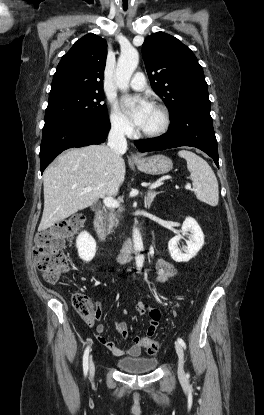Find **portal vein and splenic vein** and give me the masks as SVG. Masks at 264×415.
<instances>
[{"mask_svg": "<svg viewBox=\"0 0 264 415\" xmlns=\"http://www.w3.org/2000/svg\"><path fill=\"white\" fill-rule=\"evenodd\" d=\"M162 184H163L162 182H157V183L151 185L150 188L151 189L156 188V187H158ZM185 188L186 189H191V184L188 183L185 186ZM92 190H93V188L87 187V188L84 189V192H90ZM103 202H104L105 206H107L109 208H117L119 206V203L116 200H114L113 198L106 197V198H104Z\"/></svg>", "mask_w": 264, "mask_h": 415, "instance_id": "obj_1", "label": "portal vein and splenic vein"}]
</instances>
